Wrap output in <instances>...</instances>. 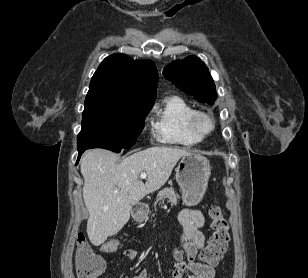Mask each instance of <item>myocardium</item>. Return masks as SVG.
<instances>
[{"mask_svg": "<svg viewBox=\"0 0 308 278\" xmlns=\"http://www.w3.org/2000/svg\"><path fill=\"white\" fill-rule=\"evenodd\" d=\"M200 119H206L209 122L210 128L208 130L203 131L199 128ZM188 126L194 135L203 139L213 133L215 129V121L210 114L203 111H195L188 118Z\"/></svg>", "mask_w": 308, "mask_h": 278, "instance_id": "obj_1", "label": "myocardium"}]
</instances>
